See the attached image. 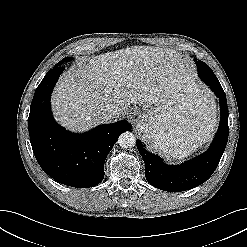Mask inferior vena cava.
Here are the masks:
<instances>
[{"mask_svg": "<svg viewBox=\"0 0 247 247\" xmlns=\"http://www.w3.org/2000/svg\"><path fill=\"white\" fill-rule=\"evenodd\" d=\"M102 116L109 120L119 115V110L112 104H107L102 110Z\"/></svg>", "mask_w": 247, "mask_h": 247, "instance_id": "1", "label": "inferior vena cava"}]
</instances>
